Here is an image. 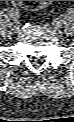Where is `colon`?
Listing matches in <instances>:
<instances>
[{"instance_id": "1", "label": "colon", "mask_w": 74, "mask_h": 122, "mask_svg": "<svg viewBox=\"0 0 74 122\" xmlns=\"http://www.w3.org/2000/svg\"><path fill=\"white\" fill-rule=\"evenodd\" d=\"M47 1H20V3L30 9H36L42 7Z\"/></svg>"}]
</instances>
